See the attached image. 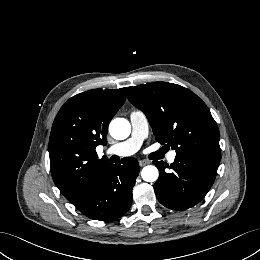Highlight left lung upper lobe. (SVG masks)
<instances>
[{
    "mask_svg": "<svg viewBox=\"0 0 260 260\" xmlns=\"http://www.w3.org/2000/svg\"><path fill=\"white\" fill-rule=\"evenodd\" d=\"M128 99L147 116L156 141L177 155L220 161L219 130L205 103L190 90L167 82L128 88Z\"/></svg>",
    "mask_w": 260,
    "mask_h": 260,
    "instance_id": "obj_1",
    "label": "left lung upper lobe"
}]
</instances>
